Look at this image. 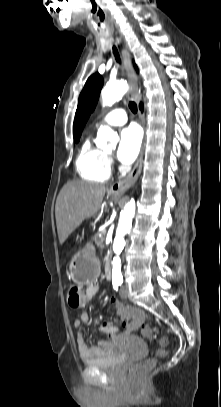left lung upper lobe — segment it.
Returning a JSON list of instances; mask_svg holds the SVG:
<instances>
[{"label": "left lung upper lobe", "instance_id": "obj_1", "mask_svg": "<svg viewBox=\"0 0 221 407\" xmlns=\"http://www.w3.org/2000/svg\"><path fill=\"white\" fill-rule=\"evenodd\" d=\"M102 86L103 78L99 73L91 75L85 83V86L79 96L78 107L75 114V142L79 141L82 130L97 104Z\"/></svg>", "mask_w": 221, "mask_h": 407}]
</instances>
